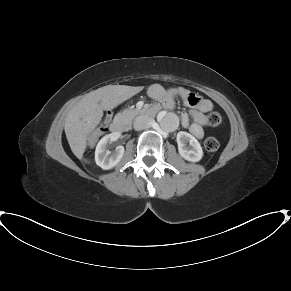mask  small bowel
<instances>
[{
    "label": "small bowel",
    "instance_id": "1",
    "mask_svg": "<svg viewBox=\"0 0 291 291\" xmlns=\"http://www.w3.org/2000/svg\"><path fill=\"white\" fill-rule=\"evenodd\" d=\"M149 97L160 103L166 109H172L175 106V99L181 98L189 106L193 122L187 114L181 115V124L188 129L197 139L204 136V127L207 125V113L212 110L213 104L210 100L197 96L185 87L177 86L170 89H164L160 84H153L148 89Z\"/></svg>",
    "mask_w": 291,
    "mask_h": 291
}]
</instances>
